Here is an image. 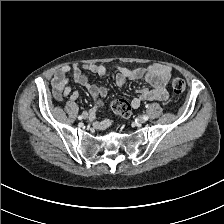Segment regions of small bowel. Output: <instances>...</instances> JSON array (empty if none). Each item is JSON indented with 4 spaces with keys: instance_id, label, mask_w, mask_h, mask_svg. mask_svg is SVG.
<instances>
[{
    "instance_id": "small-bowel-1",
    "label": "small bowel",
    "mask_w": 224,
    "mask_h": 224,
    "mask_svg": "<svg viewBox=\"0 0 224 224\" xmlns=\"http://www.w3.org/2000/svg\"><path fill=\"white\" fill-rule=\"evenodd\" d=\"M70 70L71 68L69 66H63L52 78L53 95L57 100H62L67 96H70L72 100H76L79 96L77 91H71L70 79L68 77ZM83 70H88L98 76H104L107 73V68L102 64L74 65L72 68L75 83L87 89L95 101L94 108L91 110V115L93 116L101 106L102 99L107 96V89L104 86L91 83ZM171 72L172 69L169 66L161 64H153L134 69L119 67L115 82L118 86H123L128 80L144 79L150 85L149 87L138 89L137 96L131 100L130 107L137 109L143 101H166L168 99L167 84ZM98 126L104 128L107 126V123L103 122Z\"/></svg>"
}]
</instances>
